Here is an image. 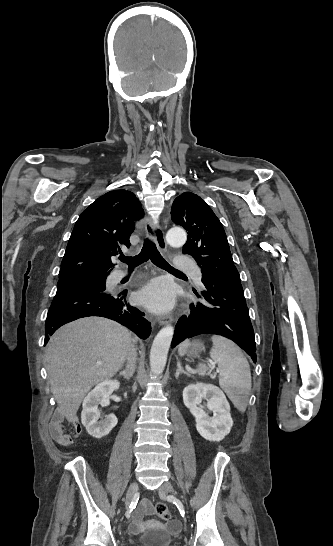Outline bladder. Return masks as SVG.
<instances>
[{
    "label": "bladder",
    "instance_id": "1",
    "mask_svg": "<svg viewBox=\"0 0 333 546\" xmlns=\"http://www.w3.org/2000/svg\"><path fill=\"white\" fill-rule=\"evenodd\" d=\"M140 542L144 546H168L171 542V536L163 531L154 530L142 535Z\"/></svg>",
    "mask_w": 333,
    "mask_h": 546
}]
</instances>
